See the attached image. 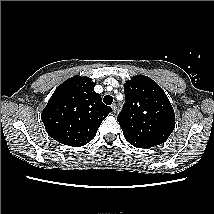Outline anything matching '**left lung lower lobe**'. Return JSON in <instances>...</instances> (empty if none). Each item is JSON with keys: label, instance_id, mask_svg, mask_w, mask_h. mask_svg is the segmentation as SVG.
<instances>
[{"label": "left lung lower lobe", "instance_id": "left-lung-lower-lobe-1", "mask_svg": "<svg viewBox=\"0 0 214 214\" xmlns=\"http://www.w3.org/2000/svg\"><path fill=\"white\" fill-rule=\"evenodd\" d=\"M125 139H126L131 145H133L134 147H137V148H150V147L156 146V145H154V144H152V143L144 142V141H140V140H136V139H133V138L125 137Z\"/></svg>", "mask_w": 214, "mask_h": 214}]
</instances>
